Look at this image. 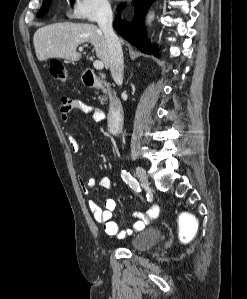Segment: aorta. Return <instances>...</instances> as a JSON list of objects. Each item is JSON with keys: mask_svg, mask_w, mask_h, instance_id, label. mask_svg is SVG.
Listing matches in <instances>:
<instances>
[{"mask_svg": "<svg viewBox=\"0 0 247 299\" xmlns=\"http://www.w3.org/2000/svg\"><path fill=\"white\" fill-rule=\"evenodd\" d=\"M153 18H154V14H153V13H150V14L148 15L147 22H148V23H151V21L153 20Z\"/></svg>", "mask_w": 247, "mask_h": 299, "instance_id": "762f6f07", "label": "aorta"}]
</instances>
